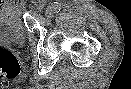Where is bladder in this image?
<instances>
[{"mask_svg": "<svg viewBox=\"0 0 131 89\" xmlns=\"http://www.w3.org/2000/svg\"><path fill=\"white\" fill-rule=\"evenodd\" d=\"M26 35L21 13L17 9H0V43L20 44L25 41Z\"/></svg>", "mask_w": 131, "mask_h": 89, "instance_id": "31cf9c89", "label": "bladder"}]
</instances>
